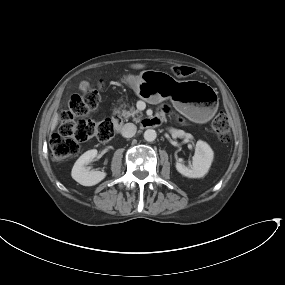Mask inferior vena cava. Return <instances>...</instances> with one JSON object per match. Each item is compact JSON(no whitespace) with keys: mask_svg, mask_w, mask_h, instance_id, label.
Listing matches in <instances>:
<instances>
[{"mask_svg":"<svg viewBox=\"0 0 285 285\" xmlns=\"http://www.w3.org/2000/svg\"><path fill=\"white\" fill-rule=\"evenodd\" d=\"M137 127L133 123H126L122 129L121 134L125 138H131L136 134Z\"/></svg>","mask_w":285,"mask_h":285,"instance_id":"1","label":"inferior vena cava"}]
</instances>
